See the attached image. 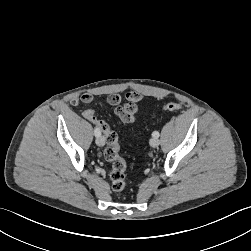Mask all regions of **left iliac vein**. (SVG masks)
I'll return each mask as SVG.
<instances>
[{
    "mask_svg": "<svg viewBox=\"0 0 251 251\" xmlns=\"http://www.w3.org/2000/svg\"><path fill=\"white\" fill-rule=\"evenodd\" d=\"M159 144H160V141H159L158 138L153 137V138L150 139V145H151L152 147H158Z\"/></svg>",
    "mask_w": 251,
    "mask_h": 251,
    "instance_id": "obj_1",
    "label": "left iliac vein"
}]
</instances>
